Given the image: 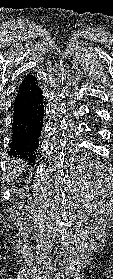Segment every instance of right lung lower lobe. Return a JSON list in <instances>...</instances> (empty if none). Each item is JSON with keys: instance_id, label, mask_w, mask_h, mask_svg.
Instances as JSON below:
<instances>
[{"instance_id": "98d812e1", "label": "right lung lower lobe", "mask_w": 113, "mask_h": 279, "mask_svg": "<svg viewBox=\"0 0 113 279\" xmlns=\"http://www.w3.org/2000/svg\"><path fill=\"white\" fill-rule=\"evenodd\" d=\"M36 78L27 75L19 86L14 103L12 142L9 154L34 163L43 127L42 91Z\"/></svg>"}]
</instances>
